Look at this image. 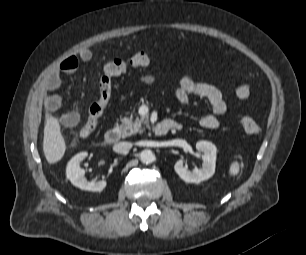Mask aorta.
<instances>
[{
    "label": "aorta",
    "instance_id": "aorta-1",
    "mask_svg": "<svg viewBox=\"0 0 306 255\" xmlns=\"http://www.w3.org/2000/svg\"><path fill=\"white\" fill-rule=\"evenodd\" d=\"M140 160L144 164H150V163L154 162L155 155L151 150H143L140 153Z\"/></svg>",
    "mask_w": 306,
    "mask_h": 255
}]
</instances>
